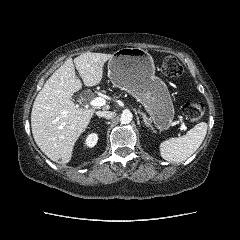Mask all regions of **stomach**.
I'll list each match as a JSON object with an SVG mask.
<instances>
[{
	"mask_svg": "<svg viewBox=\"0 0 240 240\" xmlns=\"http://www.w3.org/2000/svg\"><path fill=\"white\" fill-rule=\"evenodd\" d=\"M111 82L143 104L155 126L168 130L174 106L166 84L155 76L152 56L141 48H121L108 62Z\"/></svg>",
	"mask_w": 240,
	"mask_h": 240,
	"instance_id": "obj_1",
	"label": "stomach"
}]
</instances>
